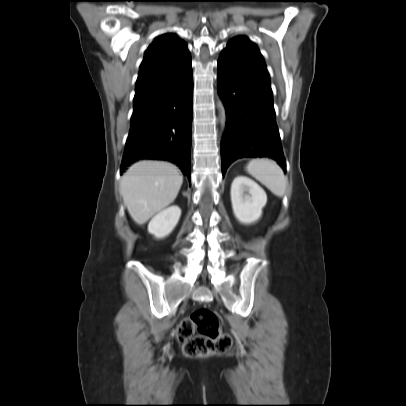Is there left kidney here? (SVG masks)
I'll list each match as a JSON object with an SVG mask.
<instances>
[{
    "instance_id": "5707ae66",
    "label": "left kidney",
    "mask_w": 406,
    "mask_h": 406,
    "mask_svg": "<svg viewBox=\"0 0 406 406\" xmlns=\"http://www.w3.org/2000/svg\"><path fill=\"white\" fill-rule=\"evenodd\" d=\"M231 203L237 220L243 224H251L260 219L267 196L252 179L238 176L231 185Z\"/></svg>"
}]
</instances>
